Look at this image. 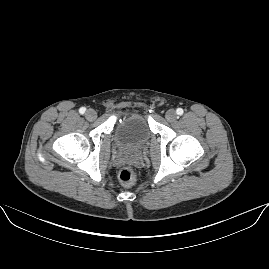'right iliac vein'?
<instances>
[{"instance_id":"right-iliac-vein-1","label":"right iliac vein","mask_w":269,"mask_h":269,"mask_svg":"<svg viewBox=\"0 0 269 269\" xmlns=\"http://www.w3.org/2000/svg\"><path fill=\"white\" fill-rule=\"evenodd\" d=\"M97 117V113L93 109H89L86 111V118L88 120H94Z\"/></svg>"}]
</instances>
